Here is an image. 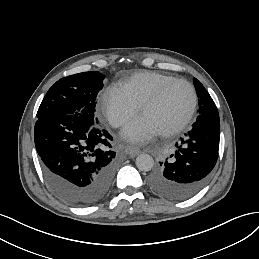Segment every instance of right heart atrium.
<instances>
[{"label": "right heart atrium", "mask_w": 259, "mask_h": 259, "mask_svg": "<svg viewBox=\"0 0 259 259\" xmlns=\"http://www.w3.org/2000/svg\"><path fill=\"white\" fill-rule=\"evenodd\" d=\"M100 114L113 127H120L136 118L140 105L120 87L110 85L103 88L98 96Z\"/></svg>", "instance_id": "obj_1"}]
</instances>
